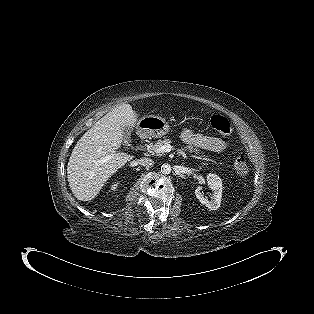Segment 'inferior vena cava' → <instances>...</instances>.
<instances>
[{"instance_id": "1", "label": "inferior vena cava", "mask_w": 314, "mask_h": 314, "mask_svg": "<svg viewBox=\"0 0 314 314\" xmlns=\"http://www.w3.org/2000/svg\"><path fill=\"white\" fill-rule=\"evenodd\" d=\"M138 164H140L141 166L145 167V168H151L154 165V161L150 158H141L138 161Z\"/></svg>"}]
</instances>
